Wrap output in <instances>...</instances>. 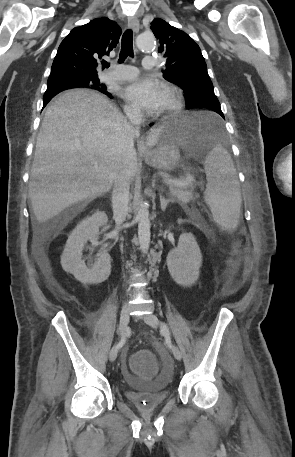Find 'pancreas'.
Segmentation results:
<instances>
[{"mask_svg":"<svg viewBox=\"0 0 295 457\" xmlns=\"http://www.w3.org/2000/svg\"><path fill=\"white\" fill-rule=\"evenodd\" d=\"M195 182L187 186H170V196L173 201L178 200L182 203H186L193 199V190L195 188Z\"/></svg>","mask_w":295,"mask_h":457,"instance_id":"1","label":"pancreas"}]
</instances>
